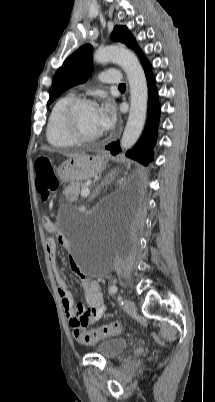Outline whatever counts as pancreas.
<instances>
[{
	"instance_id": "1",
	"label": "pancreas",
	"mask_w": 215,
	"mask_h": 402,
	"mask_svg": "<svg viewBox=\"0 0 215 402\" xmlns=\"http://www.w3.org/2000/svg\"><path fill=\"white\" fill-rule=\"evenodd\" d=\"M86 186L84 183L79 182V183H73L71 186L67 187L65 189V195L67 200L71 203L74 201L78 200L79 194H80V189L82 190Z\"/></svg>"
}]
</instances>
